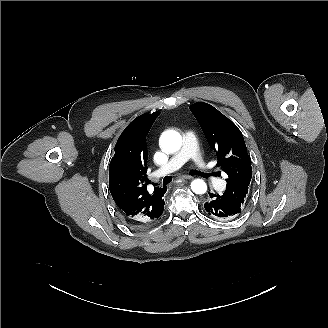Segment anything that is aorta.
Returning a JSON list of instances; mask_svg holds the SVG:
<instances>
[{
    "instance_id": "aorta-1",
    "label": "aorta",
    "mask_w": 328,
    "mask_h": 328,
    "mask_svg": "<svg viewBox=\"0 0 328 328\" xmlns=\"http://www.w3.org/2000/svg\"><path fill=\"white\" fill-rule=\"evenodd\" d=\"M160 143L166 152H175L182 146V137L178 132L169 130L161 135ZM191 189L196 194H204L207 191V185L203 180L195 179L191 182Z\"/></svg>"
}]
</instances>
